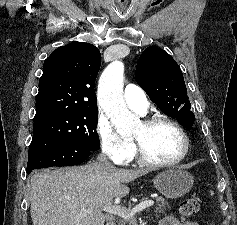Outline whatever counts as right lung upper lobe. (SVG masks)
<instances>
[{
  "mask_svg": "<svg viewBox=\"0 0 237 225\" xmlns=\"http://www.w3.org/2000/svg\"><path fill=\"white\" fill-rule=\"evenodd\" d=\"M101 54L89 43L57 48L44 61L34 121L80 111L98 110L94 83Z\"/></svg>",
  "mask_w": 237,
  "mask_h": 225,
  "instance_id": "1",
  "label": "right lung upper lobe"
}]
</instances>
